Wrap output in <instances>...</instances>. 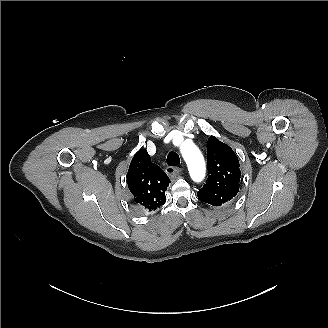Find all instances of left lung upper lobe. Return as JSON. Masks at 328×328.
<instances>
[{
    "label": "left lung upper lobe",
    "mask_w": 328,
    "mask_h": 328,
    "mask_svg": "<svg viewBox=\"0 0 328 328\" xmlns=\"http://www.w3.org/2000/svg\"><path fill=\"white\" fill-rule=\"evenodd\" d=\"M207 163L209 176L197 195L205 203L221 206L232 200L239 190V160L228 145L210 136Z\"/></svg>",
    "instance_id": "left-lung-upper-lobe-1"
}]
</instances>
